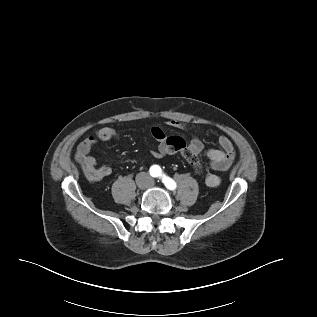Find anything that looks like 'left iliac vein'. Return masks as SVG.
<instances>
[{"mask_svg":"<svg viewBox=\"0 0 317 317\" xmlns=\"http://www.w3.org/2000/svg\"><path fill=\"white\" fill-rule=\"evenodd\" d=\"M154 184H155L154 181H150L151 186H154Z\"/></svg>","mask_w":317,"mask_h":317,"instance_id":"left-iliac-vein-1","label":"left iliac vein"}]
</instances>
